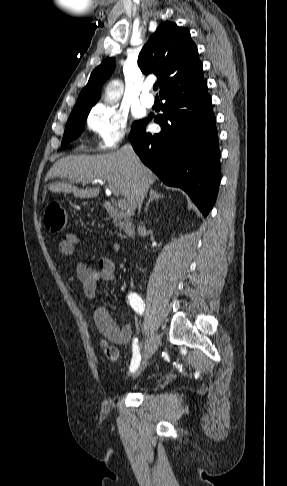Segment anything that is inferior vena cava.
I'll return each instance as SVG.
<instances>
[{
  "instance_id": "1",
  "label": "inferior vena cava",
  "mask_w": 287,
  "mask_h": 486,
  "mask_svg": "<svg viewBox=\"0 0 287 486\" xmlns=\"http://www.w3.org/2000/svg\"><path fill=\"white\" fill-rule=\"evenodd\" d=\"M122 151L126 152L131 157V159L135 163L136 168H137V170L140 174L139 187H138V191H137V203H138L139 210H140L141 205L143 203V200L146 196V193H147V191L150 187V183L148 181V178L145 175L144 168H143L140 160L136 156L132 146L130 144H127L122 148Z\"/></svg>"
}]
</instances>
